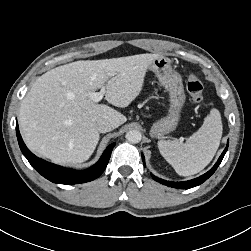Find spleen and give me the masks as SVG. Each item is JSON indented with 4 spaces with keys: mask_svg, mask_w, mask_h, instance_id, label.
I'll return each mask as SVG.
<instances>
[{
    "mask_svg": "<svg viewBox=\"0 0 251 251\" xmlns=\"http://www.w3.org/2000/svg\"><path fill=\"white\" fill-rule=\"evenodd\" d=\"M220 112L212 109L203 125L190 136L186 143L177 139L158 141V148L164 159L180 176H189L203 170L213 159L222 137Z\"/></svg>",
    "mask_w": 251,
    "mask_h": 251,
    "instance_id": "obj_1",
    "label": "spleen"
}]
</instances>
